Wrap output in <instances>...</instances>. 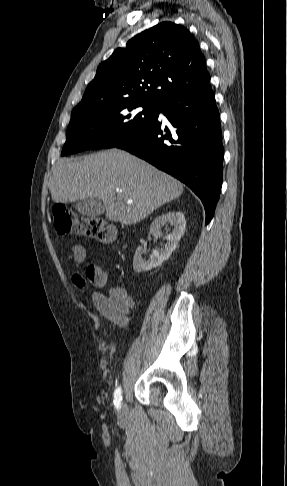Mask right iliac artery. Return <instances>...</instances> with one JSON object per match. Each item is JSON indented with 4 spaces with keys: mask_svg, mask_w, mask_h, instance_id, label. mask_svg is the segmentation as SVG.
I'll list each match as a JSON object with an SVG mask.
<instances>
[{
    "mask_svg": "<svg viewBox=\"0 0 287 486\" xmlns=\"http://www.w3.org/2000/svg\"><path fill=\"white\" fill-rule=\"evenodd\" d=\"M121 400H122V388L117 387L115 392H114V405H115L116 409H120Z\"/></svg>",
    "mask_w": 287,
    "mask_h": 486,
    "instance_id": "82829eb1",
    "label": "right iliac artery"
}]
</instances>
